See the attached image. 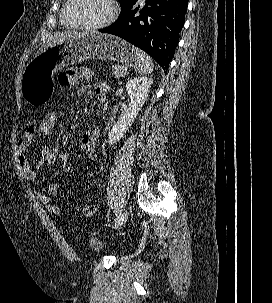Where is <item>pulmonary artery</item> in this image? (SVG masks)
<instances>
[{
    "mask_svg": "<svg viewBox=\"0 0 272 303\" xmlns=\"http://www.w3.org/2000/svg\"><path fill=\"white\" fill-rule=\"evenodd\" d=\"M140 2H142V3H143V2H144V0H140Z\"/></svg>",
    "mask_w": 272,
    "mask_h": 303,
    "instance_id": "1",
    "label": "pulmonary artery"
}]
</instances>
